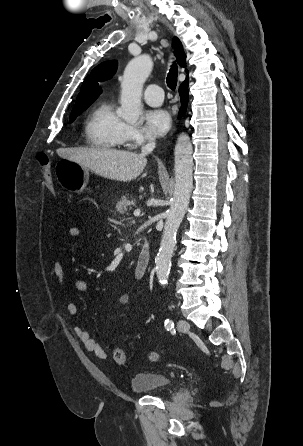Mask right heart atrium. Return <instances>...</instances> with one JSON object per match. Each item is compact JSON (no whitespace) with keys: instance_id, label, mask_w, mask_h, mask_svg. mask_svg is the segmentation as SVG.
Segmentation results:
<instances>
[{"instance_id":"1","label":"right heart atrium","mask_w":303,"mask_h":446,"mask_svg":"<svg viewBox=\"0 0 303 446\" xmlns=\"http://www.w3.org/2000/svg\"><path fill=\"white\" fill-rule=\"evenodd\" d=\"M122 135L124 143L132 147L152 141V137L144 130H142L138 126L127 123L124 124Z\"/></svg>"}]
</instances>
